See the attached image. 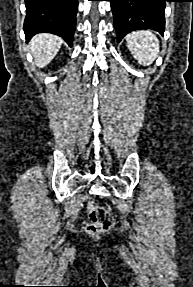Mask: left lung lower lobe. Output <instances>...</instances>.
<instances>
[{"label":"left lung lower lobe","instance_id":"obj_1","mask_svg":"<svg viewBox=\"0 0 193 287\" xmlns=\"http://www.w3.org/2000/svg\"><path fill=\"white\" fill-rule=\"evenodd\" d=\"M114 16L117 41L131 31L153 29L164 32L165 4L168 0H108Z\"/></svg>","mask_w":193,"mask_h":287}]
</instances>
